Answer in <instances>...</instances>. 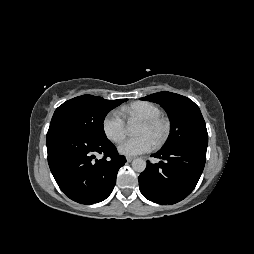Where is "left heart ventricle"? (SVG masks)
Segmentation results:
<instances>
[{
    "label": "left heart ventricle",
    "instance_id": "b2bd125f",
    "mask_svg": "<svg viewBox=\"0 0 254 254\" xmlns=\"http://www.w3.org/2000/svg\"><path fill=\"white\" fill-rule=\"evenodd\" d=\"M162 133V127L161 126H156V127H149L143 123H141L138 134L139 135H148L150 136L154 141L157 140V138L161 135Z\"/></svg>",
    "mask_w": 254,
    "mask_h": 254
}]
</instances>
